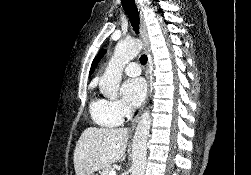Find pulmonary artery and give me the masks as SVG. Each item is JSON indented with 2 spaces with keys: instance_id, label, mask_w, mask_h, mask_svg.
<instances>
[{
  "instance_id": "1",
  "label": "pulmonary artery",
  "mask_w": 251,
  "mask_h": 175,
  "mask_svg": "<svg viewBox=\"0 0 251 175\" xmlns=\"http://www.w3.org/2000/svg\"><path fill=\"white\" fill-rule=\"evenodd\" d=\"M124 72L128 75H139L141 74L142 70L139 64L136 61H132L124 68Z\"/></svg>"
}]
</instances>
